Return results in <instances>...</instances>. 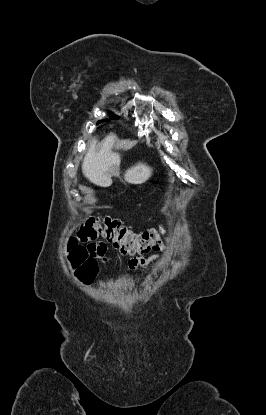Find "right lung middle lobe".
<instances>
[{
  "label": "right lung middle lobe",
  "mask_w": 266,
  "mask_h": 415,
  "mask_svg": "<svg viewBox=\"0 0 266 415\" xmlns=\"http://www.w3.org/2000/svg\"><path fill=\"white\" fill-rule=\"evenodd\" d=\"M112 117H113L114 119H116V116L112 115ZM103 121H104V120L99 121V122H98V124H99V123H101V122H103Z\"/></svg>",
  "instance_id": "obj_1"
}]
</instances>
